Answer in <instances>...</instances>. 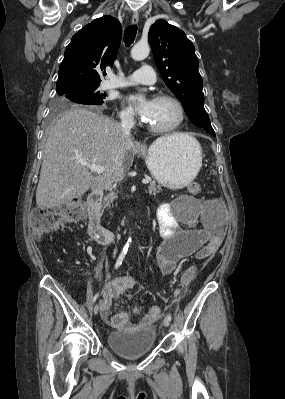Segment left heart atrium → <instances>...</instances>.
I'll return each instance as SVG.
<instances>
[{
    "mask_svg": "<svg viewBox=\"0 0 285 399\" xmlns=\"http://www.w3.org/2000/svg\"><path fill=\"white\" fill-rule=\"evenodd\" d=\"M129 102L135 107L136 111L145 120H148L152 113L154 100L145 99L140 95H132L128 98Z\"/></svg>",
    "mask_w": 285,
    "mask_h": 399,
    "instance_id": "39dd6f15",
    "label": "left heart atrium"
}]
</instances>
